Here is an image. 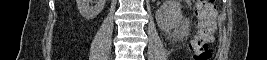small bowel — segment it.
Returning <instances> with one entry per match:
<instances>
[{
  "instance_id": "obj_1",
  "label": "small bowel",
  "mask_w": 267,
  "mask_h": 60,
  "mask_svg": "<svg viewBox=\"0 0 267 60\" xmlns=\"http://www.w3.org/2000/svg\"><path fill=\"white\" fill-rule=\"evenodd\" d=\"M215 26H213L212 30H211V33H210V42L213 41V30H214Z\"/></svg>"
}]
</instances>
